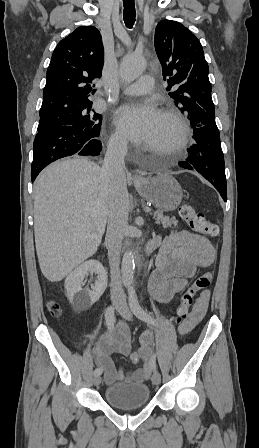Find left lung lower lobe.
I'll return each instance as SVG.
<instances>
[{"mask_svg":"<svg viewBox=\"0 0 259 448\" xmlns=\"http://www.w3.org/2000/svg\"><path fill=\"white\" fill-rule=\"evenodd\" d=\"M193 138L196 144L188 149V158L179 162V166L199 172L227 201L224 155L217 125L198 124Z\"/></svg>","mask_w":259,"mask_h":448,"instance_id":"1","label":"left lung lower lobe"}]
</instances>
